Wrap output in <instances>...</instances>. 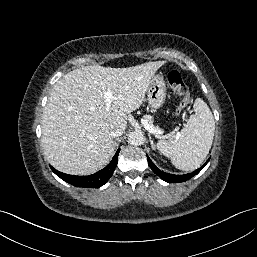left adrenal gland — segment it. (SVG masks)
<instances>
[{
	"label": "left adrenal gland",
	"mask_w": 257,
	"mask_h": 257,
	"mask_svg": "<svg viewBox=\"0 0 257 257\" xmlns=\"http://www.w3.org/2000/svg\"><path fill=\"white\" fill-rule=\"evenodd\" d=\"M149 141H150V144H151L152 149H153V150H156V147H155V145H154V142H153L152 137H151L150 134H149Z\"/></svg>",
	"instance_id": "1"
}]
</instances>
